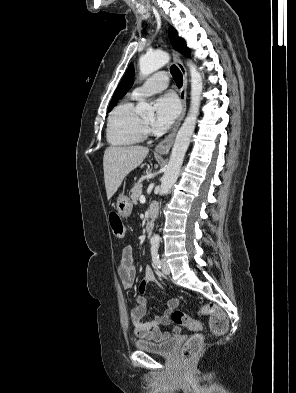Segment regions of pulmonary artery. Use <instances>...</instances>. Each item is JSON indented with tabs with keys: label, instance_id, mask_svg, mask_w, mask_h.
Here are the masks:
<instances>
[{
	"label": "pulmonary artery",
	"instance_id": "1",
	"mask_svg": "<svg viewBox=\"0 0 296 393\" xmlns=\"http://www.w3.org/2000/svg\"><path fill=\"white\" fill-rule=\"evenodd\" d=\"M168 85V75L165 72H158L148 78L141 86L134 88L131 92V97L135 100L141 99L166 89Z\"/></svg>",
	"mask_w": 296,
	"mask_h": 393
}]
</instances>
